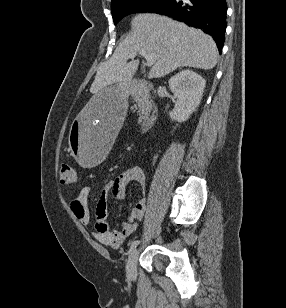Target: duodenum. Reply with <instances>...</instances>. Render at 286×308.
I'll return each instance as SVG.
<instances>
[{
  "label": "duodenum",
  "mask_w": 286,
  "mask_h": 308,
  "mask_svg": "<svg viewBox=\"0 0 286 308\" xmlns=\"http://www.w3.org/2000/svg\"><path fill=\"white\" fill-rule=\"evenodd\" d=\"M135 85L139 88L148 90H152L154 87L153 84L147 79H138L136 80ZM158 112H159L158 106L153 105L148 117L141 123L142 131H146V129L155 122L158 116Z\"/></svg>",
  "instance_id": "duodenum-1"
}]
</instances>
